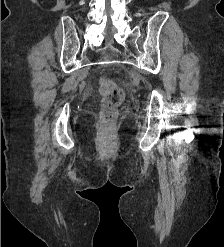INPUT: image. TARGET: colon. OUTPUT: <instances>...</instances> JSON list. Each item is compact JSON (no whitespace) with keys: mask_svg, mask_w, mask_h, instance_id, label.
Segmentation results:
<instances>
[{"mask_svg":"<svg viewBox=\"0 0 224 247\" xmlns=\"http://www.w3.org/2000/svg\"><path fill=\"white\" fill-rule=\"evenodd\" d=\"M102 95V117L107 122H113L117 117V108L124 99V91L114 81L107 78L100 80Z\"/></svg>","mask_w":224,"mask_h":247,"instance_id":"colon-1","label":"colon"}]
</instances>
